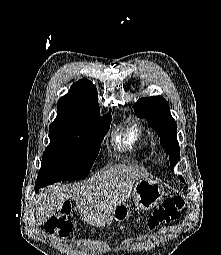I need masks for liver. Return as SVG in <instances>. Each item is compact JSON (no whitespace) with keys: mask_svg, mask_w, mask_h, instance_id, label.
I'll return each instance as SVG.
<instances>
[{"mask_svg":"<svg viewBox=\"0 0 221 255\" xmlns=\"http://www.w3.org/2000/svg\"><path fill=\"white\" fill-rule=\"evenodd\" d=\"M146 176L139 169L115 164L83 183L50 186L40 192L35 203L38 224L47 222L65 201L74 199L85 222L104 227L113 220L114 208L129 200L134 183Z\"/></svg>","mask_w":221,"mask_h":255,"instance_id":"1","label":"liver"}]
</instances>
